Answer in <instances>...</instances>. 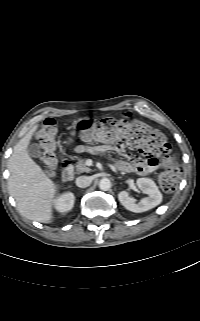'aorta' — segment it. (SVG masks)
I'll return each mask as SVG.
<instances>
[{"instance_id": "1", "label": "aorta", "mask_w": 200, "mask_h": 321, "mask_svg": "<svg viewBox=\"0 0 200 321\" xmlns=\"http://www.w3.org/2000/svg\"><path fill=\"white\" fill-rule=\"evenodd\" d=\"M99 188L103 191H107L111 188V181L108 178H102L99 182Z\"/></svg>"}]
</instances>
